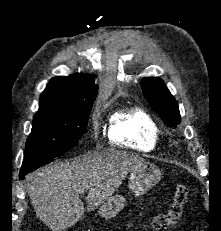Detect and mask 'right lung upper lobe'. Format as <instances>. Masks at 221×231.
Returning a JSON list of instances; mask_svg holds the SVG:
<instances>
[{"label":"right lung upper lobe","instance_id":"cb5924a9","mask_svg":"<svg viewBox=\"0 0 221 231\" xmlns=\"http://www.w3.org/2000/svg\"><path fill=\"white\" fill-rule=\"evenodd\" d=\"M94 75L54 77L40 96L39 109L82 107L94 102L98 86Z\"/></svg>","mask_w":221,"mask_h":231}]
</instances>
